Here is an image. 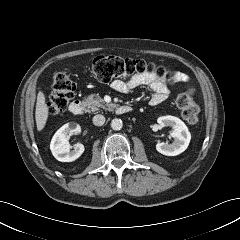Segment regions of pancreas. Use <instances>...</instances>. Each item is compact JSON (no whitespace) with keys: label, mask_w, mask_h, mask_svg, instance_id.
<instances>
[{"label":"pancreas","mask_w":240,"mask_h":240,"mask_svg":"<svg viewBox=\"0 0 240 240\" xmlns=\"http://www.w3.org/2000/svg\"><path fill=\"white\" fill-rule=\"evenodd\" d=\"M85 104L90 112H95L99 110V108L112 110L115 105L112 103H105V101L97 95L91 94L88 95L87 98H85Z\"/></svg>","instance_id":"pancreas-1"}]
</instances>
